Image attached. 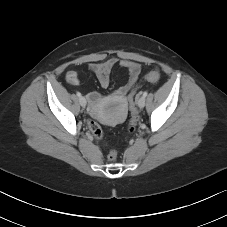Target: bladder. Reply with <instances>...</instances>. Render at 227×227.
Listing matches in <instances>:
<instances>
[{"mask_svg":"<svg viewBox=\"0 0 227 227\" xmlns=\"http://www.w3.org/2000/svg\"><path fill=\"white\" fill-rule=\"evenodd\" d=\"M107 121H108L110 124L115 123V120H113V119H111V118H108Z\"/></svg>","mask_w":227,"mask_h":227,"instance_id":"obj_1","label":"bladder"}]
</instances>
